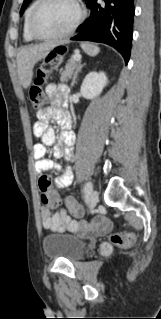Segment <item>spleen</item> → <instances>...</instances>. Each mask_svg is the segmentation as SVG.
<instances>
[{
	"instance_id": "3e777b00",
	"label": "spleen",
	"mask_w": 161,
	"mask_h": 319,
	"mask_svg": "<svg viewBox=\"0 0 161 319\" xmlns=\"http://www.w3.org/2000/svg\"><path fill=\"white\" fill-rule=\"evenodd\" d=\"M81 47L87 55L92 57L96 56L100 51L99 47L93 44L83 43Z\"/></svg>"
}]
</instances>
